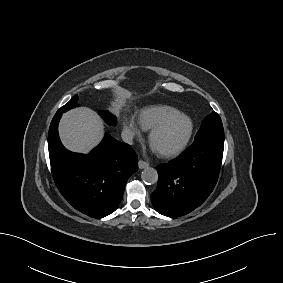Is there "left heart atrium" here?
Returning <instances> with one entry per match:
<instances>
[{
    "instance_id": "1",
    "label": "left heart atrium",
    "mask_w": 283,
    "mask_h": 283,
    "mask_svg": "<svg viewBox=\"0 0 283 283\" xmlns=\"http://www.w3.org/2000/svg\"><path fill=\"white\" fill-rule=\"evenodd\" d=\"M152 149H153L154 151H157L156 148H155L153 145H152Z\"/></svg>"
}]
</instances>
